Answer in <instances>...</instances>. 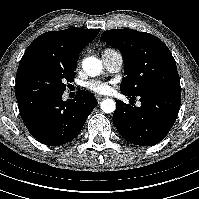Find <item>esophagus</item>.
Instances as JSON below:
<instances>
[{
    "label": "esophagus",
    "mask_w": 199,
    "mask_h": 199,
    "mask_svg": "<svg viewBox=\"0 0 199 199\" xmlns=\"http://www.w3.org/2000/svg\"><path fill=\"white\" fill-rule=\"evenodd\" d=\"M96 99H97L98 102H100L104 99V97L100 96V95H96Z\"/></svg>",
    "instance_id": "obj_1"
}]
</instances>
